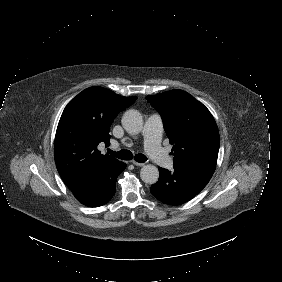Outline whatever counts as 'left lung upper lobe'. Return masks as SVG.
Listing matches in <instances>:
<instances>
[{
	"mask_svg": "<svg viewBox=\"0 0 282 282\" xmlns=\"http://www.w3.org/2000/svg\"><path fill=\"white\" fill-rule=\"evenodd\" d=\"M158 110L173 144L174 166L209 164L216 166L220 144L219 131L209 110L189 93L174 89L147 96Z\"/></svg>",
	"mask_w": 282,
	"mask_h": 282,
	"instance_id": "5c2ea615",
	"label": "left lung upper lobe"
}]
</instances>
